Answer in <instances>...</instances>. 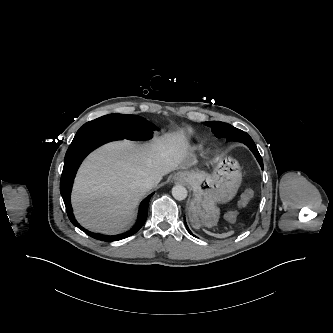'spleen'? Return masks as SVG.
I'll use <instances>...</instances> for the list:
<instances>
[{"label": "spleen", "instance_id": "spleen-1", "mask_svg": "<svg viewBox=\"0 0 333 333\" xmlns=\"http://www.w3.org/2000/svg\"><path fill=\"white\" fill-rule=\"evenodd\" d=\"M233 234V232H230V233H223V234H216L215 236L216 237H220V238H225L229 235Z\"/></svg>", "mask_w": 333, "mask_h": 333}]
</instances>
